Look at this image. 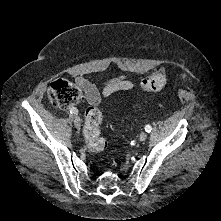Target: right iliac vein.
Masks as SVG:
<instances>
[{
  "mask_svg": "<svg viewBox=\"0 0 221 221\" xmlns=\"http://www.w3.org/2000/svg\"><path fill=\"white\" fill-rule=\"evenodd\" d=\"M74 125H75V127H76L77 129H79L80 126H81V119H80V117H79L78 115H76V116L74 117Z\"/></svg>",
  "mask_w": 221,
  "mask_h": 221,
  "instance_id": "obj_1",
  "label": "right iliac vein"
}]
</instances>
